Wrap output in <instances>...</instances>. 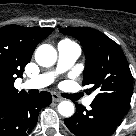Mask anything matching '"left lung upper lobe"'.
I'll return each instance as SVG.
<instances>
[{
  "mask_svg": "<svg viewBox=\"0 0 136 136\" xmlns=\"http://www.w3.org/2000/svg\"><path fill=\"white\" fill-rule=\"evenodd\" d=\"M61 32L77 38L85 51L83 85L98 90L95 101L128 108L133 77L121 48L102 32L88 28H61Z\"/></svg>",
  "mask_w": 136,
  "mask_h": 136,
  "instance_id": "left-lung-upper-lobe-1",
  "label": "left lung upper lobe"
}]
</instances>
